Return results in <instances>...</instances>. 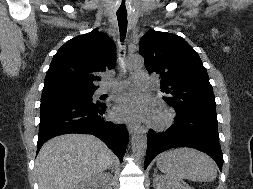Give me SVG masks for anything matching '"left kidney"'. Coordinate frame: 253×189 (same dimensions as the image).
<instances>
[{
	"label": "left kidney",
	"mask_w": 253,
	"mask_h": 189,
	"mask_svg": "<svg viewBox=\"0 0 253 189\" xmlns=\"http://www.w3.org/2000/svg\"><path fill=\"white\" fill-rule=\"evenodd\" d=\"M153 186L155 189H192L183 180H173L167 176H157L153 180Z\"/></svg>",
	"instance_id": "obj_1"
}]
</instances>
